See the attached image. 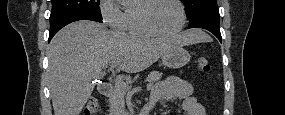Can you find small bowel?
Instances as JSON below:
<instances>
[{"instance_id": "1", "label": "small bowel", "mask_w": 285, "mask_h": 115, "mask_svg": "<svg viewBox=\"0 0 285 115\" xmlns=\"http://www.w3.org/2000/svg\"><path fill=\"white\" fill-rule=\"evenodd\" d=\"M191 82L176 77H168L156 84L150 99V107L162 101L182 100L187 115H206L205 108L193 96Z\"/></svg>"}]
</instances>
